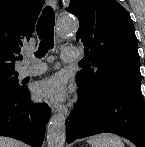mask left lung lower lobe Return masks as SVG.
<instances>
[{
	"label": "left lung lower lobe",
	"mask_w": 145,
	"mask_h": 147,
	"mask_svg": "<svg viewBox=\"0 0 145 147\" xmlns=\"http://www.w3.org/2000/svg\"><path fill=\"white\" fill-rule=\"evenodd\" d=\"M78 83L79 101L67 122V143L99 133H114L145 147V106L141 79H119L95 91Z\"/></svg>",
	"instance_id": "left-lung-lower-lobe-1"
}]
</instances>
